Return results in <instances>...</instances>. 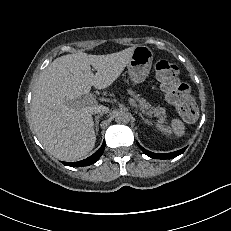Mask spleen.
<instances>
[{
    "mask_svg": "<svg viewBox=\"0 0 231 231\" xmlns=\"http://www.w3.org/2000/svg\"><path fill=\"white\" fill-rule=\"evenodd\" d=\"M156 129L164 134L174 132L178 137H181L185 132V126L180 119H173L171 127L163 125L162 121H158L155 125Z\"/></svg>",
    "mask_w": 231,
    "mask_h": 231,
    "instance_id": "3e777b00",
    "label": "spleen"
}]
</instances>
